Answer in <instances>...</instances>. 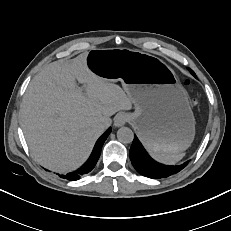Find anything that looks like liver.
<instances>
[{
  "label": "liver",
  "mask_w": 231,
  "mask_h": 231,
  "mask_svg": "<svg viewBox=\"0 0 231 231\" xmlns=\"http://www.w3.org/2000/svg\"><path fill=\"white\" fill-rule=\"evenodd\" d=\"M87 53L51 63L30 82L20 107V124L38 163L55 172L80 167L110 117L132 101L117 84L95 75ZM76 80L82 84L78 87Z\"/></svg>",
  "instance_id": "liver-1"
}]
</instances>
